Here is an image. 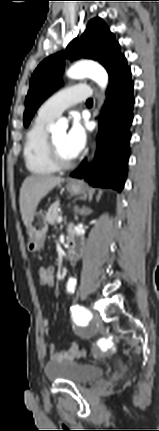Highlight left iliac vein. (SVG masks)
<instances>
[{"instance_id":"obj_1","label":"left iliac vein","mask_w":159,"mask_h":431,"mask_svg":"<svg viewBox=\"0 0 159 431\" xmlns=\"http://www.w3.org/2000/svg\"><path fill=\"white\" fill-rule=\"evenodd\" d=\"M92 322H93L94 325H97V326L101 325V317H100V315L98 313H94L93 314V316H92Z\"/></svg>"}]
</instances>
